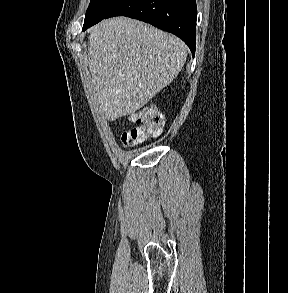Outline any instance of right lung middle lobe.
<instances>
[{
  "mask_svg": "<svg viewBox=\"0 0 288 293\" xmlns=\"http://www.w3.org/2000/svg\"><path fill=\"white\" fill-rule=\"evenodd\" d=\"M124 0H91L86 11L83 31L102 19L115 9Z\"/></svg>",
  "mask_w": 288,
  "mask_h": 293,
  "instance_id": "obj_1",
  "label": "right lung middle lobe"
}]
</instances>
